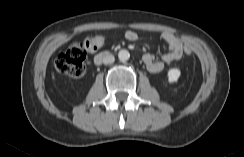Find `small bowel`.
<instances>
[{"instance_id": "1", "label": "small bowel", "mask_w": 244, "mask_h": 157, "mask_svg": "<svg viewBox=\"0 0 244 157\" xmlns=\"http://www.w3.org/2000/svg\"><path fill=\"white\" fill-rule=\"evenodd\" d=\"M125 38L128 41H136L139 36L136 32L128 30L125 33ZM161 39L168 48L167 53L160 54L159 57L150 53L143 56V62L147 70L153 74L162 72L166 65L179 60L183 55V45L175 35L171 33H162Z\"/></svg>"}]
</instances>
